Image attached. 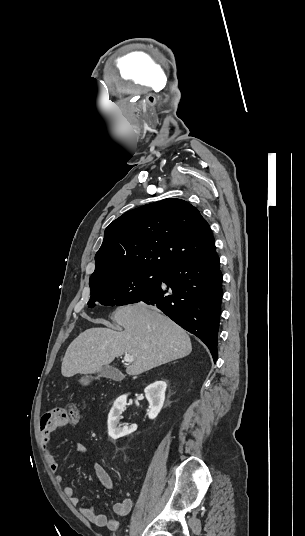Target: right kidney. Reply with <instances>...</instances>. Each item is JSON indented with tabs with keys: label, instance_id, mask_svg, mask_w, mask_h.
Here are the masks:
<instances>
[{
	"label": "right kidney",
	"instance_id": "right-kidney-1",
	"mask_svg": "<svg viewBox=\"0 0 305 536\" xmlns=\"http://www.w3.org/2000/svg\"><path fill=\"white\" fill-rule=\"evenodd\" d=\"M166 388L167 384L166 382H162V380H160V382H154V384H150V386L145 388L144 392L150 404V410L148 412L150 420L157 418L161 408H163ZM125 406L126 396H120V398H117L116 402H114V406L110 410V414L108 416V434L110 438H113V440H117V438H123V436L131 434L128 426H123V428H120L121 424H119V420L122 418L121 414Z\"/></svg>",
	"mask_w": 305,
	"mask_h": 536
}]
</instances>
